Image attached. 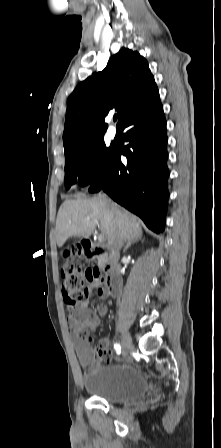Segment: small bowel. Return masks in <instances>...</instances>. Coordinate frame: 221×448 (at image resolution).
I'll list each match as a JSON object with an SVG mask.
<instances>
[{
  "label": "small bowel",
  "mask_w": 221,
  "mask_h": 448,
  "mask_svg": "<svg viewBox=\"0 0 221 448\" xmlns=\"http://www.w3.org/2000/svg\"><path fill=\"white\" fill-rule=\"evenodd\" d=\"M94 290L100 297L105 298L108 295L99 281L92 282L87 287L84 299L78 305H67L71 342L80 362L89 370L95 369L101 360L111 361L118 358L106 347L94 350L86 340L87 333L97 330L100 326V318L108 313V307L105 304H99L96 311L89 308L90 296Z\"/></svg>",
  "instance_id": "small-bowel-1"
}]
</instances>
